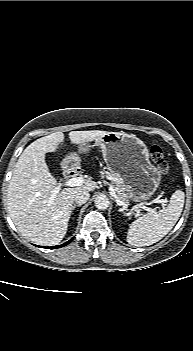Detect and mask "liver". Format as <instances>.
I'll return each instance as SVG.
<instances>
[{"mask_svg": "<svg viewBox=\"0 0 193 351\" xmlns=\"http://www.w3.org/2000/svg\"><path fill=\"white\" fill-rule=\"evenodd\" d=\"M106 131H71L72 144L81 146L104 136ZM64 134L55 132L28 145L20 155L7 191L8 211L18 231L32 242L52 246L64 238L75 195L93 191L97 184L86 181L81 186L64 188L53 197L58 186L45 162L47 152H56Z\"/></svg>", "mask_w": 193, "mask_h": 351, "instance_id": "1", "label": "liver"}]
</instances>
